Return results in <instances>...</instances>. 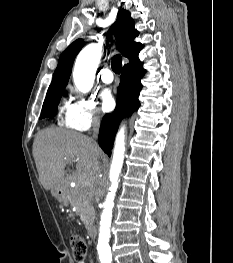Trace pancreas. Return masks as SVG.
<instances>
[{
	"instance_id": "1",
	"label": "pancreas",
	"mask_w": 233,
	"mask_h": 263,
	"mask_svg": "<svg viewBox=\"0 0 233 263\" xmlns=\"http://www.w3.org/2000/svg\"><path fill=\"white\" fill-rule=\"evenodd\" d=\"M68 201L76 208V212L79 214L85 227H89V225L93 223L95 216L90 193L81 192L78 187L71 188L66 199V202Z\"/></svg>"
}]
</instances>
